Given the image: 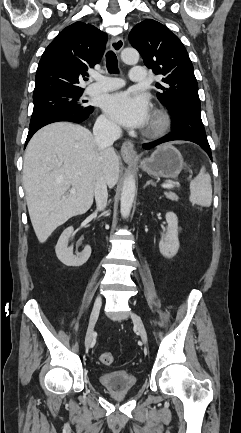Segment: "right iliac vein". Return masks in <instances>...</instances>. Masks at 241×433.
I'll list each match as a JSON object with an SVG mask.
<instances>
[{
    "label": "right iliac vein",
    "instance_id": "63e3f726",
    "mask_svg": "<svg viewBox=\"0 0 241 433\" xmlns=\"http://www.w3.org/2000/svg\"><path fill=\"white\" fill-rule=\"evenodd\" d=\"M101 304H102L101 296L98 294L95 298L93 309L90 315L89 325L85 336V348H88L91 344L93 330L100 313Z\"/></svg>",
    "mask_w": 241,
    "mask_h": 433
}]
</instances>
